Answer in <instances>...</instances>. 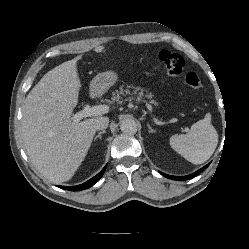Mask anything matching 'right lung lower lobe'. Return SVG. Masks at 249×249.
I'll use <instances>...</instances> for the list:
<instances>
[{"label":"right lung lower lobe","mask_w":249,"mask_h":249,"mask_svg":"<svg viewBox=\"0 0 249 249\" xmlns=\"http://www.w3.org/2000/svg\"><path fill=\"white\" fill-rule=\"evenodd\" d=\"M106 169V166L100 171V173H98L96 176H94L93 178H91L89 181L81 184V185H77V186H59V188L61 189H65V190H70V191H80V190H85L89 187H91L92 185H94L104 174Z\"/></svg>","instance_id":"obj_1"}]
</instances>
